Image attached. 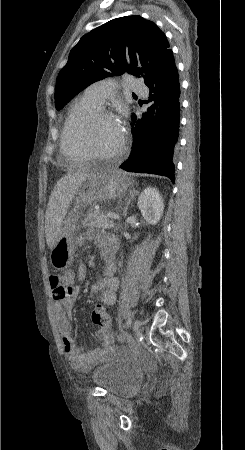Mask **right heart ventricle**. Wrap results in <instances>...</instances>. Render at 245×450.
<instances>
[{
  "instance_id": "e07e8e85",
  "label": "right heart ventricle",
  "mask_w": 245,
  "mask_h": 450,
  "mask_svg": "<svg viewBox=\"0 0 245 450\" xmlns=\"http://www.w3.org/2000/svg\"><path fill=\"white\" fill-rule=\"evenodd\" d=\"M98 106L83 93L72 102L61 133V152L75 161H87V152L81 144V133L86 119Z\"/></svg>"
}]
</instances>
